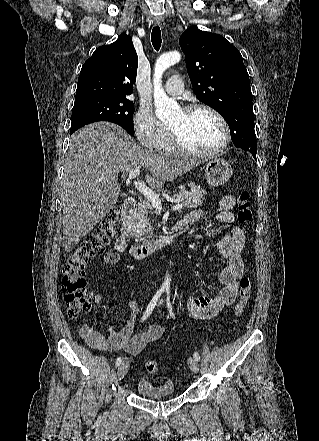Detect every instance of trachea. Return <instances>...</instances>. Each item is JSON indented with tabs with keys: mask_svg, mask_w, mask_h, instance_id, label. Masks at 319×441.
Instances as JSON below:
<instances>
[{
	"mask_svg": "<svg viewBox=\"0 0 319 441\" xmlns=\"http://www.w3.org/2000/svg\"><path fill=\"white\" fill-rule=\"evenodd\" d=\"M151 41H152V45L154 46V49L158 51L160 49L161 43H162L161 30H160L159 26H155L152 29Z\"/></svg>",
	"mask_w": 319,
	"mask_h": 441,
	"instance_id": "obj_1",
	"label": "trachea"
}]
</instances>
